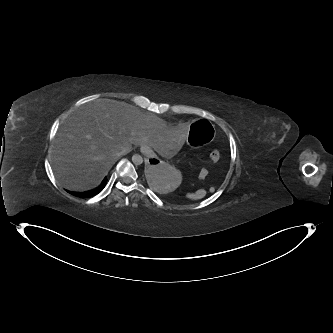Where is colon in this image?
Instances as JSON below:
<instances>
[{"mask_svg":"<svg viewBox=\"0 0 333 333\" xmlns=\"http://www.w3.org/2000/svg\"><path fill=\"white\" fill-rule=\"evenodd\" d=\"M220 159V152L218 150H213L211 153H210V161L212 163H216L218 160ZM208 174V170L206 168H203L201 171H200V177L201 178H204L206 175Z\"/></svg>","mask_w":333,"mask_h":333,"instance_id":"1","label":"colon"}]
</instances>
